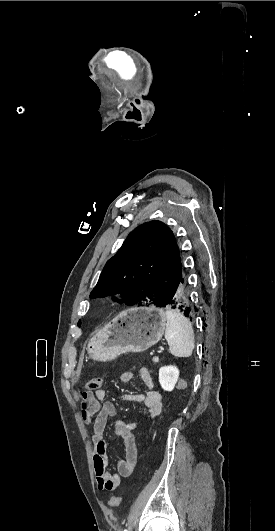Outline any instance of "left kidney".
I'll return each mask as SVG.
<instances>
[{
  "instance_id": "5707ae66",
  "label": "left kidney",
  "mask_w": 275,
  "mask_h": 531,
  "mask_svg": "<svg viewBox=\"0 0 275 531\" xmlns=\"http://www.w3.org/2000/svg\"><path fill=\"white\" fill-rule=\"evenodd\" d=\"M179 377V369L169 365L159 369V383L164 391H173Z\"/></svg>"
}]
</instances>
